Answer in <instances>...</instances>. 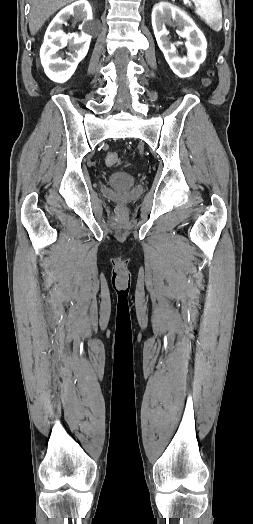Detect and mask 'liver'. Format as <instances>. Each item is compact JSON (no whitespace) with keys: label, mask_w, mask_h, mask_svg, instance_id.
Instances as JSON below:
<instances>
[{"label":"liver","mask_w":253,"mask_h":524,"mask_svg":"<svg viewBox=\"0 0 253 524\" xmlns=\"http://www.w3.org/2000/svg\"><path fill=\"white\" fill-rule=\"evenodd\" d=\"M72 2L74 0H30V33L35 35L52 14Z\"/></svg>","instance_id":"obj_1"}]
</instances>
